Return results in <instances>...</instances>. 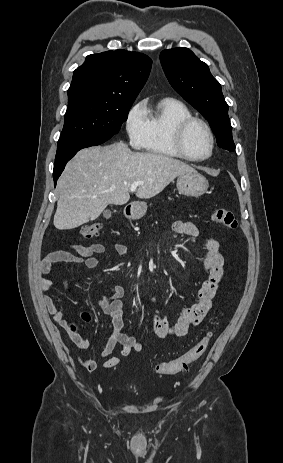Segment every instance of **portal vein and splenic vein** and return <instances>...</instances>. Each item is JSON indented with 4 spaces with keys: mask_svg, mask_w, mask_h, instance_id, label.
Here are the masks:
<instances>
[{
    "mask_svg": "<svg viewBox=\"0 0 283 463\" xmlns=\"http://www.w3.org/2000/svg\"><path fill=\"white\" fill-rule=\"evenodd\" d=\"M143 184H144L143 182H133L131 184L130 191L135 192L137 187L140 186V185H143Z\"/></svg>",
    "mask_w": 283,
    "mask_h": 463,
    "instance_id": "18ae733b",
    "label": "portal vein and splenic vein"
}]
</instances>
